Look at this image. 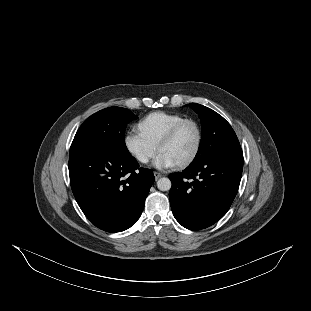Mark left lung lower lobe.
<instances>
[{
	"mask_svg": "<svg viewBox=\"0 0 311 311\" xmlns=\"http://www.w3.org/2000/svg\"><path fill=\"white\" fill-rule=\"evenodd\" d=\"M243 169L241 148L222 151L169 175L171 209L185 228L200 230L222 218L234 200Z\"/></svg>",
	"mask_w": 311,
	"mask_h": 311,
	"instance_id": "left-lung-lower-lobe-1",
	"label": "left lung lower lobe"
}]
</instances>
